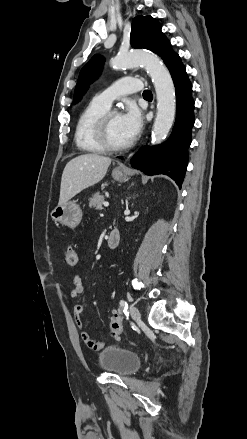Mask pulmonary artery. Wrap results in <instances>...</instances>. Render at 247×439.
<instances>
[{"instance_id":"obj_1","label":"pulmonary artery","mask_w":247,"mask_h":439,"mask_svg":"<svg viewBox=\"0 0 247 439\" xmlns=\"http://www.w3.org/2000/svg\"><path fill=\"white\" fill-rule=\"evenodd\" d=\"M141 80L134 77H124L116 81L110 87L98 94L95 99L110 107L113 101L123 95L142 90Z\"/></svg>"}]
</instances>
